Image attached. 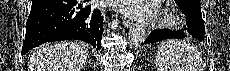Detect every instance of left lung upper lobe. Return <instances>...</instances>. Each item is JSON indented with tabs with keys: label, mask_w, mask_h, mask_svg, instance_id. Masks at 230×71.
<instances>
[{
	"label": "left lung upper lobe",
	"mask_w": 230,
	"mask_h": 71,
	"mask_svg": "<svg viewBox=\"0 0 230 71\" xmlns=\"http://www.w3.org/2000/svg\"><path fill=\"white\" fill-rule=\"evenodd\" d=\"M175 1L177 2L178 5L182 3H193L200 6V0H175Z\"/></svg>",
	"instance_id": "left-lung-upper-lobe-1"
}]
</instances>
